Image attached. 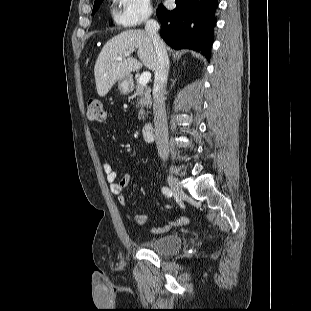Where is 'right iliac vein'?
<instances>
[{
  "label": "right iliac vein",
  "instance_id": "obj_1",
  "mask_svg": "<svg viewBox=\"0 0 311 311\" xmlns=\"http://www.w3.org/2000/svg\"><path fill=\"white\" fill-rule=\"evenodd\" d=\"M168 183L170 188L173 190L174 194L179 198H184L185 192L182 189L181 185L177 181V179L172 175H168Z\"/></svg>",
  "mask_w": 311,
  "mask_h": 311
}]
</instances>
